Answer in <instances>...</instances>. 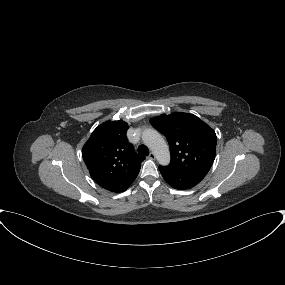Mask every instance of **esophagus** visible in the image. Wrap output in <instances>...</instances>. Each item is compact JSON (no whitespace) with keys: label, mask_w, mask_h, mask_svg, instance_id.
I'll use <instances>...</instances> for the list:
<instances>
[{"label":"esophagus","mask_w":285,"mask_h":285,"mask_svg":"<svg viewBox=\"0 0 285 285\" xmlns=\"http://www.w3.org/2000/svg\"><path fill=\"white\" fill-rule=\"evenodd\" d=\"M149 158L152 159V160H155L156 159V156L153 152L150 153L149 155Z\"/></svg>","instance_id":"obj_1"}]
</instances>
